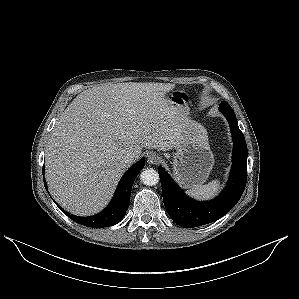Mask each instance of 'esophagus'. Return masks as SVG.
Returning a JSON list of instances; mask_svg holds the SVG:
<instances>
[{
    "mask_svg": "<svg viewBox=\"0 0 299 299\" xmlns=\"http://www.w3.org/2000/svg\"><path fill=\"white\" fill-rule=\"evenodd\" d=\"M147 162L149 164H158L160 162V157L156 154H150L147 157Z\"/></svg>",
    "mask_w": 299,
    "mask_h": 299,
    "instance_id": "obj_1",
    "label": "esophagus"
}]
</instances>
